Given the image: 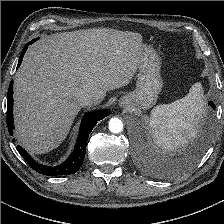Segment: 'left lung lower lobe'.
Returning <instances> with one entry per match:
<instances>
[{"label":"left lung lower lobe","instance_id":"1","mask_svg":"<svg viewBox=\"0 0 224 224\" xmlns=\"http://www.w3.org/2000/svg\"><path fill=\"white\" fill-rule=\"evenodd\" d=\"M209 104L213 109L215 108V104L213 102H209Z\"/></svg>","mask_w":224,"mask_h":224}]
</instances>
